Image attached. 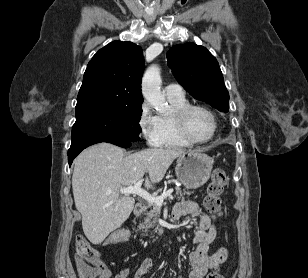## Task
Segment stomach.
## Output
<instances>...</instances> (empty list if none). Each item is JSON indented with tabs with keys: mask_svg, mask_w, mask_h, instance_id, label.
I'll list each match as a JSON object with an SVG mask.
<instances>
[{
	"mask_svg": "<svg viewBox=\"0 0 308 278\" xmlns=\"http://www.w3.org/2000/svg\"><path fill=\"white\" fill-rule=\"evenodd\" d=\"M212 167L213 160L208 155L190 151L178 158L175 172L187 189H196L208 181Z\"/></svg>",
	"mask_w": 308,
	"mask_h": 278,
	"instance_id": "1",
	"label": "stomach"
}]
</instances>
